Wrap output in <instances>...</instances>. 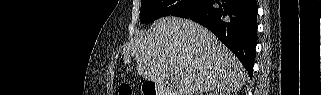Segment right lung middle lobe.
I'll return each instance as SVG.
<instances>
[{
  "mask_svg": "<svg viewBox=\"0 0 321 95\" xmlns=\"http://www.w3.org/2000/svg\"><path fill=\"white\" fill-rule=\"evenodd\" d=\"M206 0H142L140 21L150 23L164 16L186 18L196 13Z\"/></svg>",
  "mask_w": 321,
  "mask_h": 95,
  "instance_id": "obj_1",
  "label": "right lung middle lobe"
}]
</instances>
